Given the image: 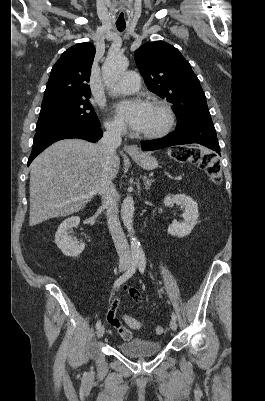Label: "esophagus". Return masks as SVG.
I'll list each match as a JSON object with an SVG mask.
<instances>
[{"mask_svg":"<svg viewBox=\"0 0 265 401\" xmlns=\"http://www.w3.org/2000/svg\"><path fill=\"white\" fill-rule=\"evenodd\" d=\"M124 150L130 155L135 156L138 153V148L135 145H125Z\"/></svg>","mask_w":265,"mask_h":401,"instance_id":"esophagus-1","label":"esophagus"}]
</instances>
